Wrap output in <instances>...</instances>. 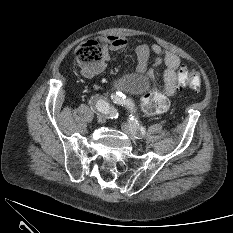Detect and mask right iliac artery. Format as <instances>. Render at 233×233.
Wrapping results in <instances>:
<instances>
[{
  "instance_id": "obj_1",
  "label": "right iliac artery",
  "mask_w": 233,
  "mask_h": 233,
  "mask_svg": "<svg viewBox=\"0 0 233 233\" xmlns=\"http://www.w3.org/2000/svg\"><path fill=\"white\" fill-rule=\"evenodd\" d=\"M89 104L92 108L99 112L107 114L111 118L118 117L117 111L110 105V103L99 95L91 97Z\"/></svg>"
}]
</instances>
